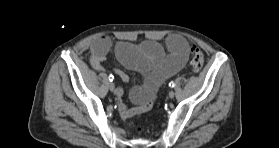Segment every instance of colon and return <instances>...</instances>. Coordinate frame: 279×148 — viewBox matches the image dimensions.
<instances>
[{
	"label": "colon",
	"instance_id": "obj_1",
	"mask_svg": "<svg viewBox=\"0 0 279 148\" xmlns=\"http://www.w3.org/2000/svg\"><path fill=\"white\" fill-rule=\"evenodd\" d=\"M192 55H191V67L194 73H199L204 65V55L202 51L196 47H192Z\"/></svg>",
	"mask_w": 279,
	"mask_h": 148
}]
</instances>
